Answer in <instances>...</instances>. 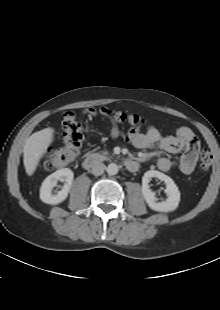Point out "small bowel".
Returning <instances> with one entry per match:
<instances>
[{
    "label": "small bowel",
    "mask_w": 220,
    "mask_h": 310,
    "mask_svg": "<svg viewBox=\"0 0 220 310\" xmlns=\"http://www.w3.org/2000/svg\"><path fill=\"white\" fill-rule=\"evenodd\" d=\"M110 109L106 107L96 110L88 108L85 114L96 116L100 113L112 120L111 136L114 138L123 137L128 143L138 149L157 147L167 153H182L180 159V170L184 174H191L198 160L200 142L188 127L178 128L174 134L163 135L156 127L150 126L145 132H141L138 127H133L128 133H123L113 116ZM157 166L162 171H168L171 168V161L166 157L157 159Z\"/></svg>",
    "instance_id": "c3829d8e"
}]
</instances>
